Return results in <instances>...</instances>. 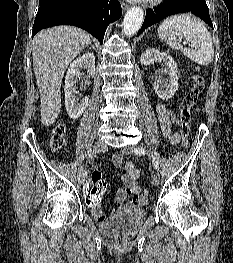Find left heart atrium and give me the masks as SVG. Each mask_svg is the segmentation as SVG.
Wrapping results in <instances>:
<instances>
[{"instance_id": "left-heart-atrium-1", "label": "left heart atrium", "mask_w": 233, "mask_h": 263, "mask_svg": "<svg viewBox=\"0 0 233 263\" xmlns=\"http://www.w3.org/2000/svg\"><path fill=\"white\" fill-rule=\"evenodd\" d=\"M131 1H140V0H131Z\"/></svg>"}]
</instances>
